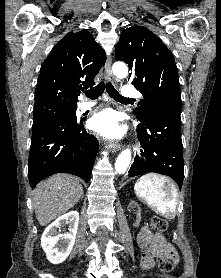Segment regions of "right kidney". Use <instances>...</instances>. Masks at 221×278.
<instances>
[{
    "instance_id": "ca27d5eb",
    "label": "right kidney",
    "mask_w": 221,
    "mask_h": 278,
    "mask_svg": "<svg viewBox=\"0 0 221 278\" xmlns=\"http://www.w3.org/2000/svg\"><path fill=\"white\" fill-rule=\"evenodd\" d=\"M78 222L79 213L71 211L56 219L43 232L41 246L51 263H62L71 253L76 239ZM66 224L69 225V232L58 234L57 230Z\"/></svg>"
}]
</instances>
